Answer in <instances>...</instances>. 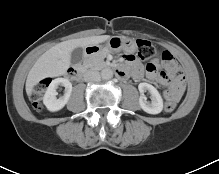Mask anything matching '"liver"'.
I'll use <instances>...</instances> for the list:
<instances>
[{"mask_svg":"<svg viewBox=\"0 0 219 174\" xmlns=\"http://www.w3.org/2000/svg\"><path fill=\"white\" fill-rule=\"evenodd\" d=\"M110 38L109 35H101L72 39L61 42L47 50L38 58L28 73L26 80L27 95L30 96L32 94L34 86L41 80L47 77L64 75L71 64V52L75 48L97 45Z\"/></svg>","mask_w":219,"mask_h":174,"instance_id":"obj_1","label":"liver"}]
</instances>
